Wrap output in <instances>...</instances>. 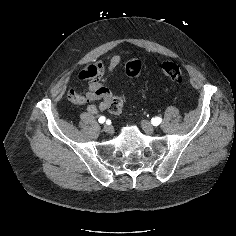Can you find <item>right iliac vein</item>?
Returning <instances> with one entry per match:
<instances>
[{"label": "right iliac vein", "instance_id": "obj_1", "mask_svg": "<svg viewBox=\"0 0 236 236\" xmlns=\"http://www.w3.org/2000/svg\"><path fill=\"white\" fill-rule=\"evenodd\" d=\"M103 130H104L105 133L111 134V133L113 132V127L110 126V125H105V126L103 127Z\"/></svg>", "mask_w": 236, "mask_h": 236}]
</instances>
